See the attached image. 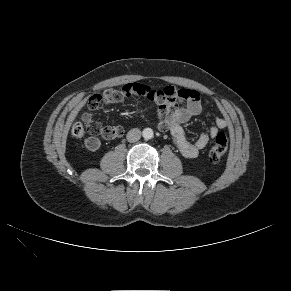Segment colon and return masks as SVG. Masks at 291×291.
<instances>
[{
  "mask_svg": "<svg viewBox=\"0 0 291 291\" xmlns=\"http://www.w3.org/2000/svg\"><path fill=\"white\" fill-rule=\"evenodd\" d=\"M103 99L101 95H96L88 102V109L90 111L96 109L98 104ZM71 133L76 138H82L86 133L90 135L89 138H97L102 136L106 139H113L122 134V129L119 127H102L91 116L90 112H84L81 115V120L77 121L71 130ZM98 139V138H97ZM228 138L224 133H219L212 141L208 156L210 161L218 162L227 152Z\"/></svg>",
  "mask_w": 291,
  "mask_h": 291,
  "instance_id": "colon-1",
  "label": "colon"
}]
</instances>
